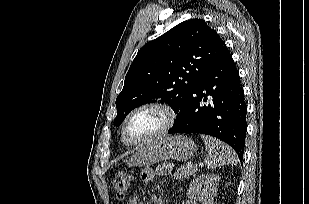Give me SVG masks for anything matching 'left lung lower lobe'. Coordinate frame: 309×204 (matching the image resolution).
<instances>
[{"label":"left lung lower lobe","mask_w":309,"mask_h":204,"mask_svg":"<svg viewBox=\"0 0 309 204\" xmlns=\"http://www.w3.org/2000/svg\"><path fill=\"white\" fill-rule=\"evenodd\" d=\"M206 91V94L203 92ZM210 95L208 105H200ZM246 103L234 60L226 49L222 58L200 78L189 101L177 113L169 133H200L229 144L243 158Z\"/></svg>","instance_id":"1"}]
</instances>
